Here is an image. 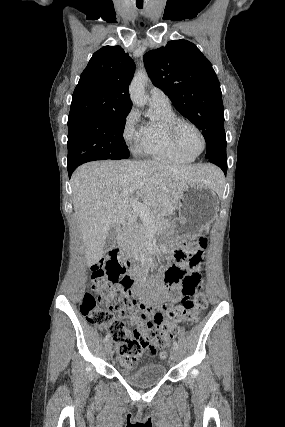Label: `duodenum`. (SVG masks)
<instances>
[{"label":"duodenum","instance_id":"duodenum-1","mask_svg":"<svg viewBox=\"0 0 285 427\" xmlns=\"http://www.w3.org/2000/svg\"><path fill=\"white\" fill-rule=\"evenodd\" d=\"M127 226H128V223H127L125 220H123V219L118 220V221L116 222V228H117L118 230H123V229H125ZM138 231H139V232H142L141 228H138ZM113 252H114V253H117L116 251H113Z\"/></svg>","mask_w":285,"mask_h":427}]
</instances>
